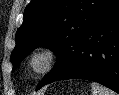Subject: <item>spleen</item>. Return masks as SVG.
<instances>
[{
    "mask_svg": "<svg viewBox=\"0 0 119 95\" xmlns=\"http://www.w3.org/2000/svg\"><path fill=\"white\" fill-rule=\"evenodd\" d=\"M92 95H116V93L109 88L93 82L91 84Z\"/></svg>",
    "mask_w": 119,
    "mask_h": 95,
    "instance_id": "1",
    "label": "spleen"
}]
</instances>
